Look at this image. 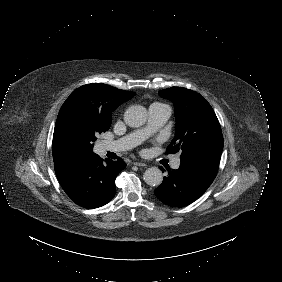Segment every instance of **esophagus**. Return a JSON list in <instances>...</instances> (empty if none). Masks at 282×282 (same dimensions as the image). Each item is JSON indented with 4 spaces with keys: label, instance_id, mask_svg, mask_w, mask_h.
Listing matches in <instances>:
<instances>
[{
    "label": "esophagus",
    "instance_id": "esophagus-1",
    "mask_svg": "<svg viewBox=\"0 0 282 282\" xmlns=\"http://www.w3.org/2000/svg\"><path fill=\"white\" fill-rule=\"evenodd\" d=\"M133 164L136 165V166H139V167H146V164L142 163V162L134 161Z\"/></svg>",
    "mask_w": 282,
    "mask_h": 282
}]
</instances>
